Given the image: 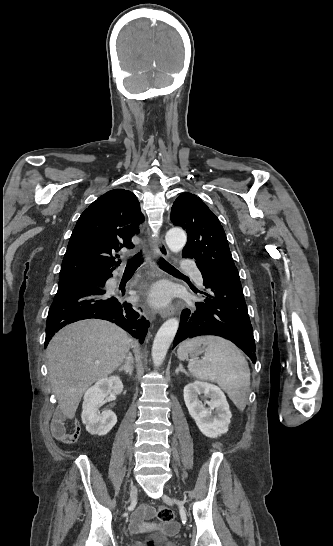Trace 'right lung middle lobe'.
Masks as SVG:
<instances>
[{
	"instance_id": "right-lung-middle-lobe-1",
	"label": "right lung middle lobe",
	"mask_w": 333,
	"mask_h": 546,
	"mask_svg": "<svg viewBox=\"0 0 333 546\" xmlns=\"http://www.w3.org/2000/svg\"><path fill=\"white\" fill-rule=\"evenodd\" d=\"M106 280H107V276H104V275L69 279V280H60L58 284V291L84 287V286L103 287L105 285Z\"/></svg>"
}]
</instances>
